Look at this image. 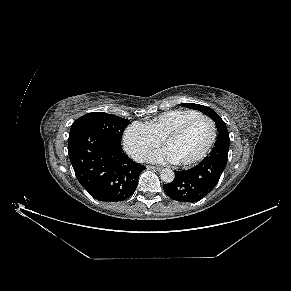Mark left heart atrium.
<instances>
[{
    "label": "left heart atrium",
    "instance_id": "1",
    "mask_svg": "<svg viewBox=\"0 0 291 291\" xmlns=\"http://www.w3.org/2000/svg\"><path fill=\"white\" fill-rule=\"evenodd\" d=\"M149 160L155 163L176 162L175 157L166 147L151 153Z\"/></svg>",
    "mask_w": 291,
    "mask_h": 291
}]
</instances>
